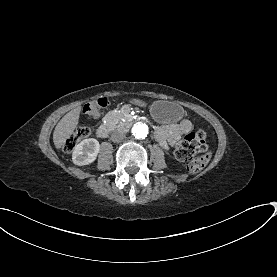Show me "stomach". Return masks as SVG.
<instances>
[{"label":"stomach","mask_w":277,"mask_h":277,"mask_svg":"<svg viewBox=\"0 0 277 277\" xmlns=\"http://www.w3.org/2000/svg\"><path fill=\"white\" fill-rule=\"evenodd\" d=\"M151 115L160 123H174L179 121L184 113L183 108L173 102L155 101L150 107Z\"/></svg>","instance_id":"0dacf381"}]
</instances>
